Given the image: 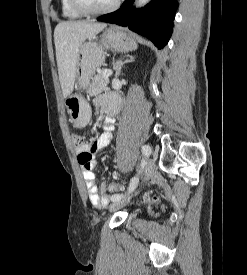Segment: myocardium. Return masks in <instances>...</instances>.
Returning <instances> with one entry per match:
<instances>
[{
  "instance_id": "myocardium-1",
  "label": "myocardium",
  "mask_w": 247,
  "mask_h": 275,
  "mask_svg": "<svg viewBox=\"0 0 247 275\" xmlns=\"http://www.w3.org/2000/svg\"><path fill=\"white\" fill-rule=\"evenodd\" d=\"M68 1H69L70 6L76 12L80 13L81 15H86V16H98V15H104V14L111 13L114 10H116L121 3V0H114V2L111 5H109L108 7L91 10V9H88V8L82 6L78 0H68Z\"/></svg>"
}]
</instances>
